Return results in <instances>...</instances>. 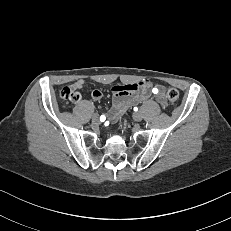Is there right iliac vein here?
Returning a JSON list of instances; mask_svg holds the SVG:
<instances>
[{
  "mask_svg": "<svg viewBox=\"0 0 231 231\" xmlns=\"http://www.w3.org/2000/svg\"><path fill=\"white\" fill-rule=\"evenodd\" d=\"M92 122L94 124H99L100 123V119H99V116L97 114H93V116H92Z\"/></svg>",
  "mask_w": 231,
  "mask_h": 231,
  "instance_id": "63e3f726",
  "label": "right iliac vein"
}]
</instances>
